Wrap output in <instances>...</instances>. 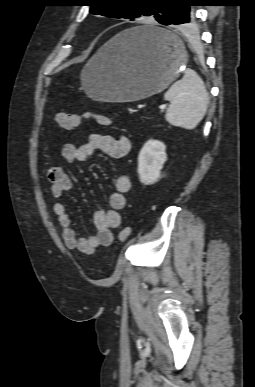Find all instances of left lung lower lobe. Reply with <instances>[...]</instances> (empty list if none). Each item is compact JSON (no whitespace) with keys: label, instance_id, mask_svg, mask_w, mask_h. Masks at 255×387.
I'll return each mask as SVG.
<instances>
[{"label":"left lung lower lobe","instance_id":"left-lung-lower-lobe-1","mask_svg":"<svg viewBox=\"0 0 255 387\" xmlns=\"http://www.w3.org/2000/svg\"><path fill=\"white\" fill-rule=\"evenodd\" d=\"M195 0H185L175 5L171 18L164 25L191 26L194 22V14L191 6H196ZM140 35L152 41L163 39V34L156 30H147Z\"/></svg>","mask_w":255,"mask_h":387}]
</instances>
